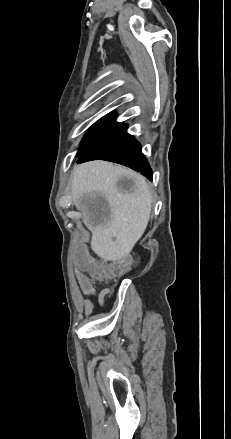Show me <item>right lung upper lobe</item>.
<instances>
[{"instance_id":"right-lung-upper-lobe-1","label":"right lung upper lobe","mask_w":231,"mask_h":439,"mask_svg":"<svg viewBox=\"0 0 231 439\" xmlns=\"http://www.w3.org/2000/svg\"><path fill=\"white\" fill-rule=\"evenodd\" d=\"M116 117H117V114H115L114 112H111L108 115L104 116L103 118L115 119Z\"/></svg>"}]
</instances>
